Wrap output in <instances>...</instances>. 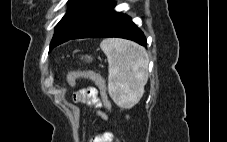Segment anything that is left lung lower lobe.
<instances>
[{
  "label": "left lung lower lobe",
  "instance_id": "left-lung-lower-lobe-1",
  "mask_svg": "<svg viewBox=\"0 0 227 142\" xmlns=\"http://www.w3.org/2000/svg\"><path fill=\"white\" fill-rule=\"evenodd\" d=\"M114 7L115 1L111 0L98 15L70 39L119 37L135 41L146 47L147 42L143 32L129 16L114 11Z\"/></svg>",
  "mask_w": 227,
  "mask_h": 142
}]
</instances>
